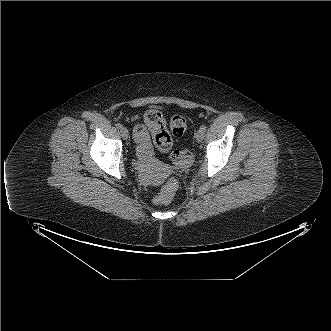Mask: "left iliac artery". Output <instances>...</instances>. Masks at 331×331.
Instances as JSON below:
<instances>
[{"label":"left iliac artery","mask_w":331,"mask_h":331,"mask_svg":"<svg viewBox=\"0 0 331 331\" xmlns=\"http://www.w3.org/2000/svg\"><path fill=\"white\" fill-rule=\"evenodd\" d=\"M200 129H201L203 132H205L206 129H207V127H206V125H202Z\"/></svg>","instance_id":"obj_1"}]
</instances>
